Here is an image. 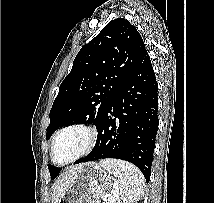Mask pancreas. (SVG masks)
I'll list each match as a JSON object with an SVG mask.
<instances>
[{
  "label": "pancreas",
  "instance_id": "1",
  "mask_svg": "<svg viewBox=\"0 0 214 203\" xmlns=\"http://www.w3.org/2000/svg\"><path fill=\"white\" fill-rule=\"evenodd\" d=\"M105 203H115V201L114 200H107V201H105Z\"/></svg>",
  "mask_w": 214,
  "mask_h": 203
}]
</instances>
